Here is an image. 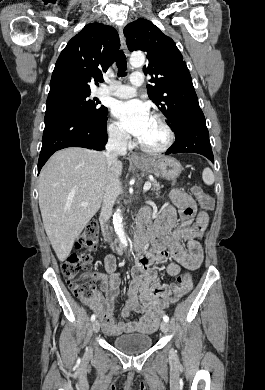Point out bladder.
I'll return each mask as SVG.
<instances>
[{"instance_id": "31cf9c89", "label": "bladder", "mask_w": 265, "mask_h": 390, "mask_svg": "<svg viewBox=\"0 0 265 390\" xmlns=\"http://www.w3.org/2000/svg\"><path fill=\"white\" fill-rule=\"evenodd\" d=\"M112 344L117 350L134 355L147 351L152 345V337L145 334L121 335L115 337Z\"/></svg>"}]
</instances>
